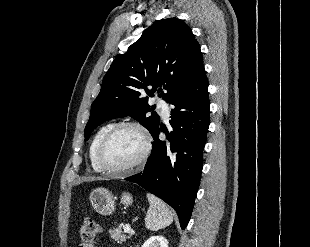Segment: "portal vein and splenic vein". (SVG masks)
<instances>
[{
  "label": "portal vein and splenic vein",
  "instance_id": "18ae733b",
  "mask_svg": "<svg viewBox=\"0 0 310 247\" xmlns=\"http://www.w3.org/2000/svg\"><path fill=\"white\" fill-rule=\"evenodd\" d=\"M124 231H125V232H133V233H134V231L131 230V227H130L128 224H126V225L124 226Z\"/></svg>",
  "mask_w": 310,
  "mask_h": 247
}]
</instances>
